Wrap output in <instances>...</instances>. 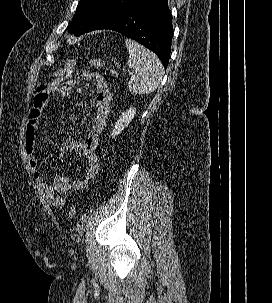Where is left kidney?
Wrapping results in <instances>:
<instances>
[{
	"label": "left kidney",
	"instance_id": "5707ae66",
	"mask_svg": "<svg viewBox=\"0 0 272 303\" xmlns=\"http://www.w3.org/2000/svg\"><path fill=\"white\" fill-rule=\"evenodd\" d=\"M136 114V108H130L125 112H122L121 116L117 120L115 124V128L113 129L111 136L114 138L116 135H119L132 121Z\"/></svg>",
	"mask_w": 272,
	"mask_h": 303
}]
</instances>
